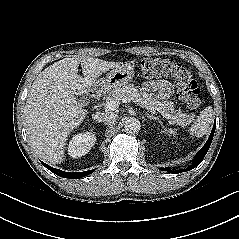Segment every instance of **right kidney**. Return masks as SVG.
Wrapping results in <instances>:
<instances>
[{"label":"right kidney","instance_id":"ca27d5eb","mask_svg":"<svg viewBox=\"0 0 239 239\" xmlns=\"http://www.w3.org/2000/svg\"><path fill=\"white\" fill-rule=\"evenodd\" d=\"M96 136L92 132L76 134L68 145V154L73 158H79L87 154L95 144Z\"/></svg>","mask_w":239,"mask_h":239}]
</instances>
